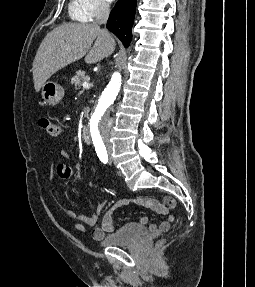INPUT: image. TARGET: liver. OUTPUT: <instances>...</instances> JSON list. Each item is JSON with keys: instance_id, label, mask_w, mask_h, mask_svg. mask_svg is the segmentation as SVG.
Wrapping results in <instances>:
<instances>
[{"instance_id": "liver-1", "label": "liver", "mask_w": 255, "mask_h": 287, "mask_svg": "<svg viewBox=\"0 0 255 287\" xmlns=\"http://www.w3.org/2000/svg\"><path fill=\"white\" fill-rule=\"evenodd\" d=\"M115 46L116 42L111 34L107 30H100V26L95 22L63 24L54 28L41 42L33 62L32 72L36 92H40L43 84L58 70L81 60L83 56L86 64L101 62L113 54Z\"/></svg>"}]
</instances>
